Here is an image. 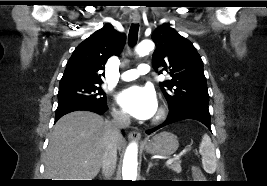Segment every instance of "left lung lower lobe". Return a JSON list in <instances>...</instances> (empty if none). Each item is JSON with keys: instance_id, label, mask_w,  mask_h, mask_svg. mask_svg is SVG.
<instances>
[{"instance_id": "left-lung-lower-lobe-1", "label": "left lung lower lobe", "mask_w": 267, "mask_h": 186, "mask_svg": "<svg viewBox=\"0 0 267 186\" xmlns=\"http://www.w3.org/2000/svg\"><path fill=\"white\" fill-rule=\"evenodd\" d=\"M185 119L197 120L203 123L205 126H207L211 130V126H210L211 120H210L209 110L203 107L190 106V107L181 108L179 110L170 111L168 118L163 124L153 129L147 130L146 133L151 134L163 126H166L168 124H171L177 121L185 120Z\"/></svg>"}]
</instances>
